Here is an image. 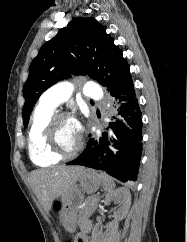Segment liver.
<instances>
[{"label": "liver", "instance_id": "obj_1", "mask_svg": "<svg viewBox=\"0 0 187 242\" xmlns=\"http://www.w3.org/2000/svg\"><path fill=\"white\" fill-rule=\"evenodd\" d=\"M83 168L62 165L31 174V185L46 211L51 210L55 199L66 194L75 185Z\"/></svg>", "mask_w": 187, "mask_h": 242}]
</instances>
